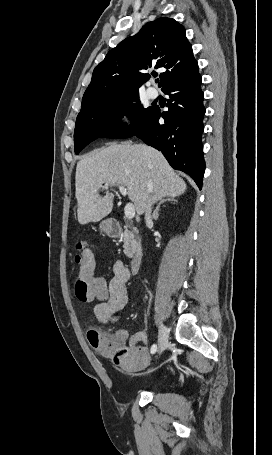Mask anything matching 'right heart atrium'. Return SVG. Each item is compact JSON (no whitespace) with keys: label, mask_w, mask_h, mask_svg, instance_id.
<instances>
[{"label":"right heart atrium","mask_w":272,"mask_h":455,"mask_svg":"<svg viewBox=\"0 0 272 455\" xmlns=\"http://www.w3.org/2000/svg\"><path fill=\"white\" fill-rule=\"evenodd\" d=\"M136 121L135 109L129 103L120 105L113 117L114 125L123 132L131 131L135 127Z\"/></svg>","instance_id":"d8ad5b80"}]
</instances>
